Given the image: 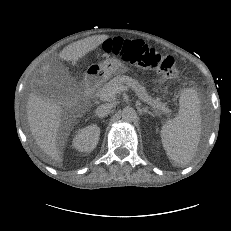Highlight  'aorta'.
Listing matches in <instances>:
<instances>
[{"label":"aorta","instance_id":"aorta-1","mask_svg":"<svg viewBox=\"0 0 231 231\" xmlns=\"http://www.w3.org/2000/svg\"><path fill=\"white\" fill-rule=\"evenodd\" d=\"M136 117V111L132 107H125L122 111V118L125 121H132Z\"/></svg>","mask_w":231,"mask_h":231}]
</instances>
